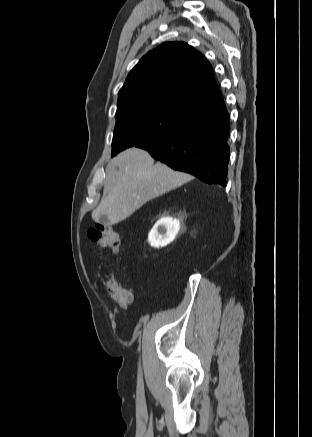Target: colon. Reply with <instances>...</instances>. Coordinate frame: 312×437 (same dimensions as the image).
<instances>
[{"label": "colon", "mask_w": 312, "mask_h": 437, "mask_svg": "<svg viewBox=\"0 0 312 437\" xmlns=\"http://www.w3.org/2000/svg\"><path fill=\"white\" fill-rule=\"evenodd\" d=\"M89 238L104 248L117 251L120 246L119 233L109 225H99L88 231ZM105 293L119 306L125 307L130 302V293L123 288L114 277L105 279L102 283Z\"/></svg>", "instance_id": "obj_1"}]
</instances>
